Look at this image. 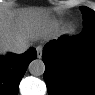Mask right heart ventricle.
Wrapping results in <instances>:
<instances>
[{
    "label": "right heart ventricle",
    "mask_w": 95,
    "mask_h": 95,
    "mask_svg": "<svg viewBox=\"0 0 95 95\" xmlns=\"http://www.w3.org/2000/svg\"><path fill=\"white\" fill-rule=\"evenodd\" d=\"M54 26L55 27L59 26V23L58 22L54 23Z\"/></svg>",
    "instance_id": "1"
}]
</instances>
